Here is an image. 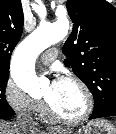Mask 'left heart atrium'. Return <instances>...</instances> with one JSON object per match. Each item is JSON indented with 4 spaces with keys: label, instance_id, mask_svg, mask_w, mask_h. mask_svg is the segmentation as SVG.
Instances as JSON below:
<instances>
[{
    "label": "left heart atrium",
    "instance_id": "39dd6f15",
    "mask_svg": "<svg viewBox=\"0 0 116 134\" xmlns=\"http://www.w3.org/2000/svg\"><path fill=\"white\" fill-rule=\"evenodd\" d=\"M60 82H61V80L60 79H57V78H55V79L52 80V82H51V88H52L53 91H56L58 89V87L60 85Z\"/></svg>",
    "mask_w": 116,
    "mask_h": 134
}]
</instances>
